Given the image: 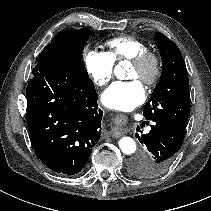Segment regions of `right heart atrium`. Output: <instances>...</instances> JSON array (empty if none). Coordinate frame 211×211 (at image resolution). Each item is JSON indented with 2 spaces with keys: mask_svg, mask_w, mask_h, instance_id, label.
I'll return each mask as SVG.
<instances>
[{
  "mask_svg": "<svg viewBox=\"0 0 211 211\" xmlns=\"http://www.w3.org/2000/svg\"><path fill=\"white\" fill-rule=\"evenodd\" d=\"M84 63L95 85L104 87L111 81L114 63L106 52L89 49L84 53Z\"/></svg>",
  "mask_w": 211,
  "mask_h": 211,
  "instance_id": "right-heart-atrium-1",
  "label": "right heart atrium"
}]
</instances>
